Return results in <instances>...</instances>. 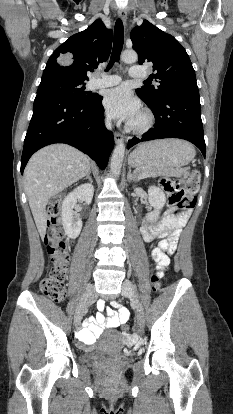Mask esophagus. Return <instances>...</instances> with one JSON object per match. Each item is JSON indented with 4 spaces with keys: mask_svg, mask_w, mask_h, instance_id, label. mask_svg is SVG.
Returning <instances> with one entry per match:
<instances>
[{
    "mask_svg": "<svg viewBox=\"0 0 233 414\" xmlns=\"http://www.w3.org/2000/svg\"><path fill=\"white\" fill-rule=\"evenodd\" d=\"M118 16L123 21V23H126L127 11L125 9H119L118 10ZM114 140H115L116 143H120V142L123 141V136L120 133L115 132L114 133Z\"/></svg>",
    "mask_w": 233,
    "mask_h": 414,
    "instance_id": "obj_1",
    "label": "esophagus"
}]
</instances>
